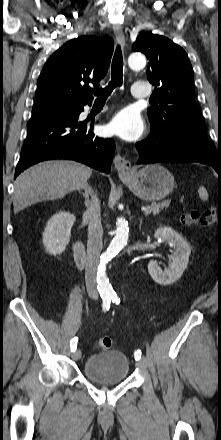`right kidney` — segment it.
Masks as SVG:
<instances>
[{
    "instance_id": "ca27d5eb",
    "label": "right kidney",
    "mask_w": 221,
    "mask_h": 440,
    "mask_svg": "<svg viewBox=\"0 0 221 440\" xmlns=\"http://www.w3.org/2000/svg\"><path fill=\"white\" fill-rule=\"evenodd\" d=\"M74 222L75 217L69 212H59L47 222L43 245L49 254L56 256L65 251Z\"/></svg>"
}]
</instances>
